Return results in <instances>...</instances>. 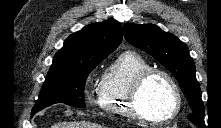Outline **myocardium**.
I'll list each match as a JSON object with an SVG mask.
<instances>
[{
    "label": "myocardium",
    "mask_w": 221,
    "mask_h": 128,
    "mask_svg": "<svg viewBox=\"0 0 221 128\" xmlns=\"http://www.w3.org/2000/svg\"><path fill=\"white\" fill-rule=\"evenodd\" d=\"M162 76L166 79L168 82L171 92H172V98H173V104L170 110L162 117L159 118H152L145 113L142 112V110L138 106V97L139 93L144 86V84L153 76ZM128 106L130 113L135 118L142 120L147 123L151 124H163L165 122H168L172 120L178 112L181 109V94L178 88V85L174 78L167 73L166 71L158 68H150L145 71H143L141 74H139L136 79L134 80L130 92L128 94Z\"/></svg>",
    "instance_id": "myocardium-1"
}]
</instances>
